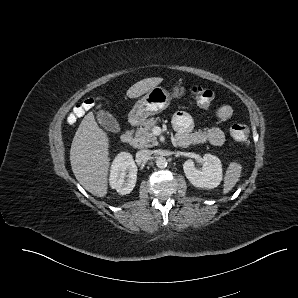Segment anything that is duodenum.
<instances>
[{
	"mask_svg": "<svg viewBox=\"0 0 298 298\" xmlns=\"http://www.w3.org/2000/svg\"><path fill=\"white\" fill-rule=\"evenodd\" d=\"M137 125V120L132 118L130 120L131 128H134ZM121 141L126 144H132L134 142V134L133 130H127L121 134ZM175 142L179 147H189L193 144L201 142V139L198 136L191 135L188 133H177L175 136Z\"/></svg>",
	"mask_w": 298,
	"mask_h": 298,
	"instance_id": "1",
	"label": "duodenum"
}]
</instances>
